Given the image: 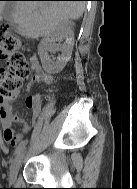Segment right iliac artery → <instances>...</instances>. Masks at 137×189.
I'll list each match as a JSON object with an SVG mask.
<instances>
[{
  "label": "right iliac artery",
  "instance_id": "obj_1",
  "mask_svg": "<svg viewBox=\"0 0 137 189\" xmlns=\"http://www.w3.org/2000/svg\"><path fill=\"white\" fill-rule=\"evenodd\" d=\"M24 148H25V143L22 144L20 147H18V148L15 149L14 155L19 154Z\"/></svg>",
  "mask_w": 137,
  "mask_h": 189
}]
</instances>
